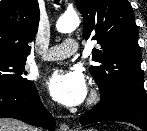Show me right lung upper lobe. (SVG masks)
<instances>
[{
    "mask_svg": "<svg viewBox=\"0 0 147 131\" xmlns=\"http://www.w3.org/2000/svg\"><path fill=\"white\" fill-rule=\"evenodd\" d=\"M39 23L37 0L0 2V57L26 59Z\"/></svg>",
    "mask_w": 147,
    "mask_h": 131,
    "instance_id": "obj_1",
    "label": "right lung upper lobe"
}]
</instances>
